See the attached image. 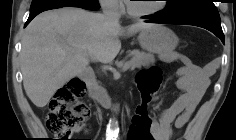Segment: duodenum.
Listing matches in <instances>:
<instances>
[{
	"label": "duodenum",
	"mask_w": 236,
	"mask_h": 140,
	"mask_svg": "<svg viewBox=\"0 0 236 140\" xmlns=\"http://www.w3.org/2000/svg\"><path fill=\"white\" fill-rule=\"evenodd\" d=\"M81 77L90 85L89 97L91 100L100 103L103 107L110 108L113 106L109 96L106 95L100 87L95 85L94 73L91 70H83Z\"/></svg>",
	"instance_id": "1"
}]
</instances>
